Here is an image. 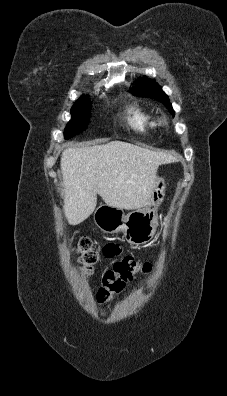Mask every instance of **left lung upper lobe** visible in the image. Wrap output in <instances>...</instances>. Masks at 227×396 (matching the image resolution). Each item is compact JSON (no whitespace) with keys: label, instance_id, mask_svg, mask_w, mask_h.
<instances>
[{"label":"left lung upper lobe","instance_id":"1","mask_svg":"<svg viewBox=\"0 0 227 396\" xmlns=\"http://www.w3.org/2000/svg\"><path fill=\"white\" fill-rule=\"evenodd\" d=\"M134 95L148 96L162 102L174 116V110L169 102L168 96L162 91L161 87L154 81L141 79L138 87L132 91Z\"/></svg>","mask_w":227,"mask_h":396}]
</instances>
